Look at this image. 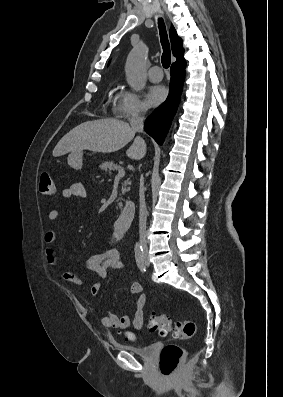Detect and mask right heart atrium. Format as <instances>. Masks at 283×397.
Masks as SVG:
<instances>
[{"mask_svg":"<svg viewBox=\"0 0 283 397\" xmlns=\"http://www.w3.org/2000/svg\"><path fill=\"white\" fill-rule=\"evenodd\" d=\"M112 110L117 117L130 120L143 115L146 112V106L136 92L121 89L115 97Z\"/></svg>","mask_w":283,"mask_h":397,"instance_id":"1","label":"right heart atrium"}]
</instances>
